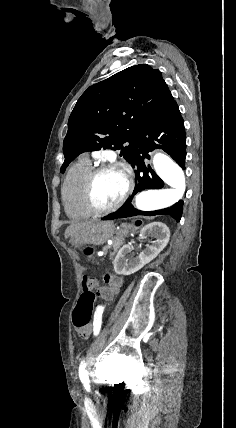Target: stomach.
Returning <instances> with one entry per match:
<instances>
[{
	"label": "stomach",
	"mask_w": 236,
	"mask_h": 428,
	"mask_svg": "<svg viewBox=\"0 0 236 428\" xmlns=\"http://www.w3.org/2000/svg\"><path fill=\"white\" fill-rule=\"evenodd\" d=\"M114 228L112 222H89L82 228L78 236H73L70 242L73 246H86V244H94V246H101L105 244L113 236Z\"/></svg>",
	"instance_id": "0dacf381"
}]
</instances>
